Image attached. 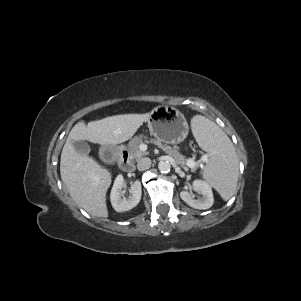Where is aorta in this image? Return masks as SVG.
Wrapping results in <instances>:
<instances>
[{
  "instance_id": "obj_1",
  "label": "aorta",
  "mask_w": 301,
  "mask_h": 301,
  "mask_svg": "<svg viewBox=\"0 0 301 301\" xmlns=\"http://www.w3.org/2000/svg\"><path fill=\"white\" fill-rule=\"evenodd\" d=\"M158 169L161 173H168L170 172L171 165L168 161H160L158 164Z\"/></svg>"
}]
</instances>
